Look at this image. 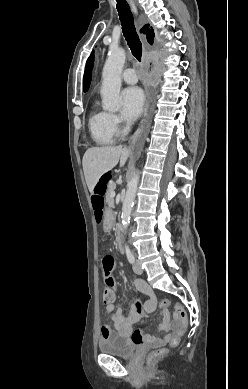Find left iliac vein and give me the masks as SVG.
<instances>
[{"instance_id": "obj_1", "label": "left iliac vein", "mask_w": 248, "mask_h": 389, "mask_svg": "<svg viewBox=\"0 0 248 389\" xmlns=\"http://www.w3.org/2000/svg\"><path fill=\"white\" fill-rule=\"evenodd\" d=\"M133 271H134L136 274H138V275H140V274L143 273V270H142L141 265H140L139 262L136 261V262L133 264Z\"/></svg>"}]
</instances>
